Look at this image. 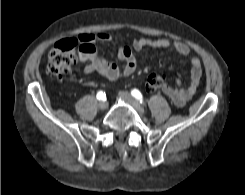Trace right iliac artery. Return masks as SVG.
<instances>
[{"label":"right iliac artery","mask_w":245,"mask_h":195,"mask_svg":"<svg viewBox=\"0 0 245 195\" xmlns=\"http://www.w3.org/2000/svg\"><path fill=\"white\" fill-rule=\"evenodd\" d=\"M96 97H97L98 100H104V98L106 97V96H105V92L99 91V92L97 93Z\"/></svg>","instance_id":"right-iliac-artery-1"}]
</instances>
